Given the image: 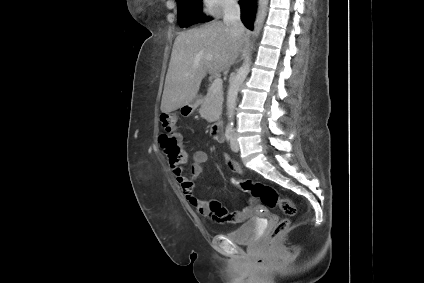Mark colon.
<instances>
[{
    "mask_svg": "<svg viewBox=\"0 0 424 283\" xmlns=\"http://www.w3.org/2000/svg\"><path fill=\"white\" fill-rule=\"evenodd\" d=\"M178 116L175 113H162L159 117V124L162 132L159 134V144L165 153L172 168H178L187 160L186 153L183 150L181 137L175 132ZM231 183L246 194L259 199L269 208L280 207L283 213L288 217L280 221L272 228L267 239L270 244L275 243L278 238L289 228L290 219L297 213L294 202L288 197L282 196L273 186L260 181L251 179H232ZM210 211L218 220H227L233 214H229L217 201L209 204Z\"/></svg>",
    "mask_w": 424,
    "mask_h": 283,
    "instance_id": "obj_1",
    "label": "colon"
}]
</instances>
